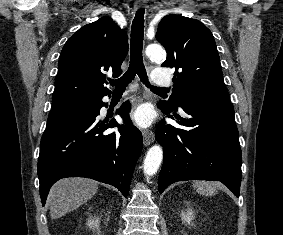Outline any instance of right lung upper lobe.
<instances>
[{"label": "right lung upper lobe", "instance_id": "right-lung-upper-lobe-1", "mask_svg": "<svg viewBox=\"0 0 283 235\" xmlns=\"http://www.w3.org/2000/svg\"><path fill=\"white\" fill-rule=\"evenodd\" d=\"M127 53V34L110 17L80 28L61 51L53 103L110 94L103 72L119 76Z\"/></svg>", "mask_w": 283, "mask_h": 235}]
</instances>
